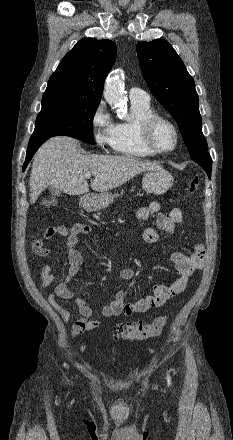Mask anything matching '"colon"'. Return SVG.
<instances>
[{
	"label": "colon",
	"instance_id": "1",
	"mask_svg": "<svg viewBox=\"0 0 233 440\" xmlns=\"http://www.w3.org/2000/svg\"><path fill=\"white\" fill-rule=\"evenodd\" d=\"M199 186V179L192 178L186 187L188 194H193ZM44 206L47 208H54L57 203L53 199L44 201ZM167 323L166 317H159L150 324H143L140 321H131L125 324L117 325L115 328V337L127 341H142L157 337L163 331Z\"/></svg>",
	"mask_w": 233,
	"mask_h": 440
}]
</instances>
